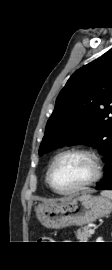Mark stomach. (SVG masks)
Here are the masks:
<instances>
[{
  "label": "stomach",
  "mask_w": 112,
  "mask_h": 270,
  "mask_svg": "<svg viewBox=\"0 0 112 270\" xmlns=\"http://www.w3.org/2000/svg\"><path fill=\"white\" fill-rule=\"evenodd\" d=\"M112 202L104 196L84 193L66 201H53L36 206L38 220L47 228L84 226L109 215Z\"/></svg>",
  "instance_id": "stomach-1"
}]
</instances>
